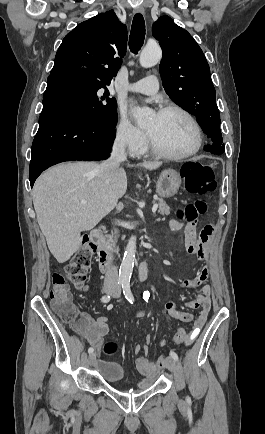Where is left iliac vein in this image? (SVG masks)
<instances>
[{"label":"left iliac vein","mask_w":265,"mask_h":434,"mask_svg":"<svg viewBox=\"0 0 265 434\" xmlns=\"http://www.w3.org/2000/svg\"><path fill=\"white\" fill-rule=\"evenodd\" d=\"M111 294L113 295L114 298H119V296L121 294V289L115 288ZM164 364L170 372H172V373L177 372L176 362L172 357H170V356L167 357Z\"/></svg>","instance_id":"left-iliac-vein-1"}]
</instances>
